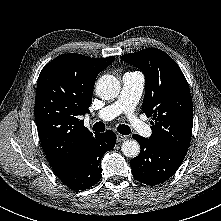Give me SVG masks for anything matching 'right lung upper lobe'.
I'll return each mask as SVG.
<instances>
[{
    "label": "right lung upper lobe",
    "mask_w": 221,
    "mask_h": 221,
    "mask_svg": "<svg viewBox=\"0 0 221 221\" xmlns=\"http://www.w3.org/2000/svg\"><path fill=\"white\" fill-rule=\"evenodd\" d=\"M113 61L114 56L100 59L68 53L49 62L39 75L35 120L45 155L58 177L74 166L93 135L81 116L89 111L97 75Z\"/></svg>",
    "instance_id": "cb5924a9"
}]
</instances>
